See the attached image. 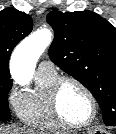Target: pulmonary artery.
<instances>
[{
  "instance_id": "e3ab8cb5",
  "label": "pulmonary artery",
  "mask_w": 116,
  "mask_h": 134,
  "mask_svg": "<svg viewBox=\"0 0 116 134\" xmlns=\"http://www.w3.org/2000/svg\"><path fill=\"white\" fill-rule=\"evenodd\" d=\"M37 72L52 73L56 72L54 64L50 60H43L39 63Z\"/></svg>"
}]
</instances>
